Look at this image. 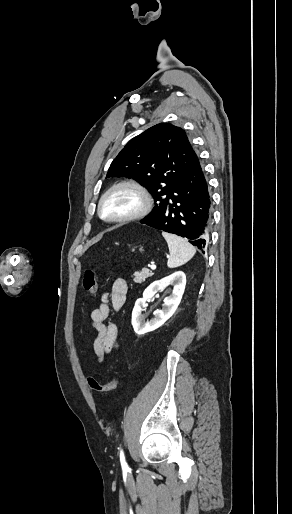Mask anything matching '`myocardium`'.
Instances as JSON below:
<instances>
[{"label": "myocardium", "mask_w": 292, "mask_h": 514, "mask_svg": "<svg viewBox=\"0 0 292 514\" xmlns=\"http://www.w3.org/2000/svg\"><path fill=\"white\" fill-rule=\"evenodd\" d=\"M129 191L132 192L137 196L138 203L134 209L131 211L114 216V217H107L104 214V205L106 201L116 192L118 191ZM151 207V198L147 192V190L139 183L134 181H124L119 182L114 185H112L110 188H108L104 194L101 196L99 203H98V214L101 219H103L106 222L111 223H123L128 222L137 218L142 217L145 215Z\"/></svg>", "instance_id": "1"}]
</instances>
